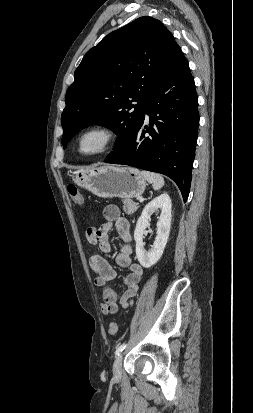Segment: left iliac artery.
<instances>
[{"instance_id": "obj_1", "label": "left iliac artery", "mask_w": 253, "mask_h": 413, "mask_svg": "<svg viewBox=\"0 0 253 413\" xmlns=\"http://www.w3.org/2000/svg\"><path fill=\"white\" fill-rule=\"evenodd\" d=\"M125 347H126V343L124 342L122 345H120V346L117 348L115 354H116V355H119V354L125 349Z\"/></svg>"}]
</instances>
